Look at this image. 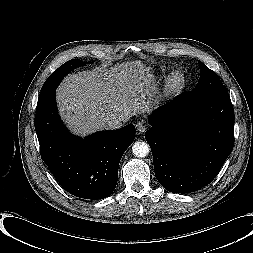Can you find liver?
<instances>
[{"label": "liver", "mask_w": 253, "mask_h": 253, "mask_svg": "<svg viewBox=\"0 0 253 253\" xmlns=\"http://www.w3.org/2000/svg\"><path fill=\"white\" fill-rule=\"evenodd\" d=\"M153 74L140 61L110 69L70 74L56 90L60 114L69 129L85 136L107 128V120L150 112L158 103Z\"/></svg>", "instance_id": "obj_1"}]
</instances>
